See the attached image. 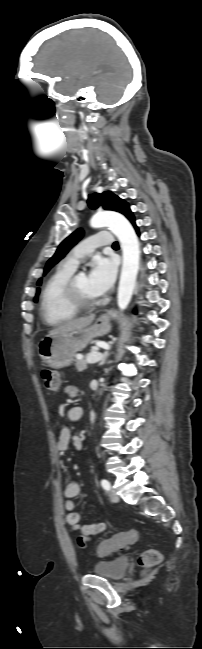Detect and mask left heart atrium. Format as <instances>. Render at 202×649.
I'll use <instances>...</instances> for the list:
<instances>
[{
  "instance_id": "39dd6f15",
  "label": "left heart atrium",
  "mask_w": 202,
  "mask_h": 649,
  "mask_svg": "<svg viewBox=\"0 0 202 649\" xmlns=\"http://www.w3.org/2000/svg\"><path fill=\"white\" fill-rule=\"evenodd\" d=\"M117 273L116 263L105 257H97L91 263L88 282L91 290L97 296L106 293L114 284Z\"/></svg>"
}]
</instances>
